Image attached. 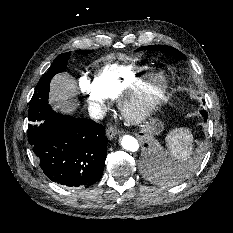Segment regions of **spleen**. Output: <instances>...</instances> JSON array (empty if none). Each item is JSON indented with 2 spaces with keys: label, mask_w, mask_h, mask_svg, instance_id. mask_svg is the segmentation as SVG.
Instances as JSON below:
<instances>
[{
  "label": "spleen",
  "mask_w": 233,
  "mask_h": 233,
  "mask_svg": "<svg viewBox=\"0 0 233 233\" xmlns=\"http://www.w3.org/2000/svg\"><path fill=\"white\" fill-rule=\"evenodd\" d=\"M170 155L179 162L186 161L193 153V136L187 128H176L166 136Z\"/></svg>",
  "instance_id": "obj_1"
}]
</instances>
